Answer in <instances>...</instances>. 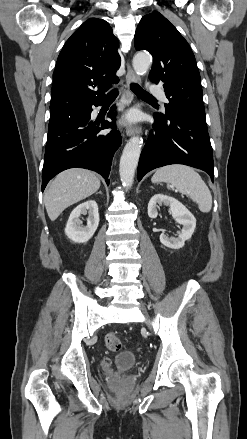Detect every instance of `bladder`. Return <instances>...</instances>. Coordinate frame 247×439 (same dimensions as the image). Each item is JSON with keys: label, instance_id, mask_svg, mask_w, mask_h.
Here are the masks:
<instances>
[{"label": "bladder", "instance_id": "bladder-1", "mask_svg": "<svg viewBox=\"0 0 247 439\" xmlns=\"http://www.w3.org/2000/svg\"><path fill=\"white\" fill-rule=\"evenodd\" d=\"M115 365L120 370H128L136 365L137 356L134 352L125 350L116 354L114 358Z\"/></svg>", "mask_w": 247, "mask_h": 439}]
</instances>
